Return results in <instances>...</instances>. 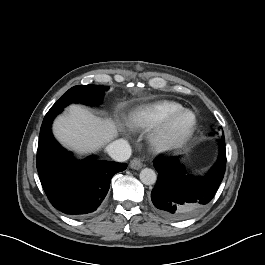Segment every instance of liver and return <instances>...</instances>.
Masks as SVG:
<instances>
[{
	"mask_svg": "<svg viewBox=\"0 0 265 265\" xmlns=\"http://www.w3.org/2000/svg\"><path fill=\"white\" fill-rule=\"evenodd\" d=\"M53 133L66 147L84 154L112 140L117 135V127L110 119H101L81 106L71 105L66 115L54 121Z\"/></svg>",
	"mask_w": 265,
	"mask_h": 265,
	"instance_id": "6515ba94",
	"label": "liver"
}]
</instances>
